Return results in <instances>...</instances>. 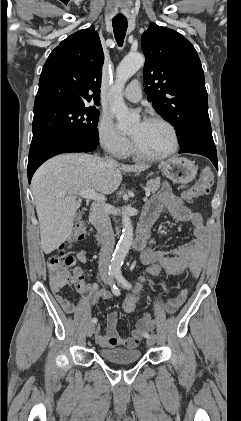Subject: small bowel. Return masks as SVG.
<instances>
[{"mask_svg": "<svg viewBox=\"0 0 241 421\" xmlns=\"http://www.w3.org/2000/svg\"><path fill=\"white\" fill-rule=\"evenodd\" d=\"M163 211H167L181 222L191 223L194 239L170 251L149 247L141 254V261L145 265L159 263L168 274L174 276H180L185 270H188L190 275L196 278L204 264L209 242L208 230L202 216L200 213L187 207L169 185H164L160 192L148 203L145 208V215L157 218ZM77 259L87 264L85 249L77 253ZM67 284H73L79 293L89 294L93 304L111 296L108 290L99 289L95 284H86L80 269L78 275L71 282L60 286L52 285L51 287L57 302L69 314L75 313L78 310V306L60 294V289ZM187 295L188 290L182 289L175 298L169 299L165 305L166 312L168 314L175 313L184 304ZM117 322V312L111 311L106 319V334H102L100 326H97L95 341L99 347L135 348L140 343L144 333L153 327L152 319L148 314H145L137 321L135 328L130 334L127 337H122L117 331Z\"/></svg>", "mask_w": 241, "mask_h": 421, "instance_id": "c3829d8e", "label": "small bowel"}]
</instances>
